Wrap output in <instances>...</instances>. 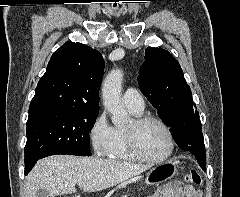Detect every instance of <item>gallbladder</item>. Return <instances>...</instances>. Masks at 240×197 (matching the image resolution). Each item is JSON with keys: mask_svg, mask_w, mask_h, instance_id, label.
<instances>
[{"mask_svg": "<svg viewBox=\"0 0 240 197\" xmlns=\"http://www.w3.org/2000/svg\"><path fill=\"white\" fill-rule=\"evenodd\" d=\"M36 197H51L46 189H38Z\"/></svg>", "mask_w": 240, "mask_h": 197, "instance_id": "obj_1", "label": "gallbladder"}]
</instances>
